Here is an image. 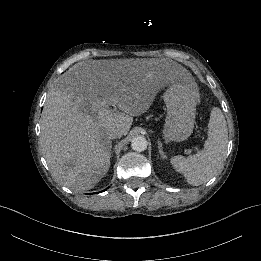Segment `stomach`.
<instances>
[{"instance_id": "1", "label": "stomach", "mask_w": 261, "mask_h": 261, "mask_svg": "<svg viewBox=\"0 0 261 261\" xmlns=\"http://www.w3.org/2000/svg\"><path fill=\"white\" fill-rule=\"evenodd\" d=\"M167 117L163 129L166 143L184 141L193 132L199 93L190 84H172L164 93Z\"/></svg>"}]
</instances>
